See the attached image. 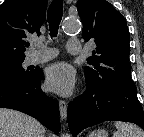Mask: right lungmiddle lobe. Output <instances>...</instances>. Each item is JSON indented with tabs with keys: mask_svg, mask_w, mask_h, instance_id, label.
Listing matches in <instances>:
<instances>
[{
	"mask_svg": "<svg viewBox=\"0 0 144 137\" xmlns=\"http://www.w3.org/2000/svg\"><path fill=\"white\" fill-rule=\"evenodd\" d=\"M24 60L18 61L9 66L0 68V82L14 81V82H25L32 79L36 70H25L21 63Z\"/></svg>",
	"mask_w": 144,
	"mask_h": 137,
	"instance_id": "obj_1",
	"label": "right lung middle lobe"
}]
</instances>
